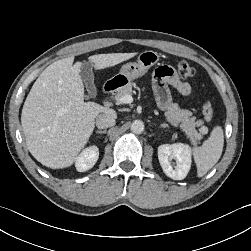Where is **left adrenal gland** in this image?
<instances>
[{
	"instance_id": "a2214340",
	"label": "left adrenal gland",
	"mask_w": 251,
	"mask_h": 251,
	"mask_svg": "<svg viewBox=\"0 0 251 251\" xmlns=\"http://www.w3.org/2000/svg\"><path fill=\"white\" fill-rule=\"evenodd\" d=\"M166 127H168L166 124H161V125L159 126V128H166Z\"/></svg>"
}]
</instances>
